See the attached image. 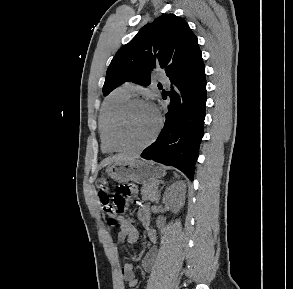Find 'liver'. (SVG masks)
<instances>
[{"mask_svg": "<svg viewBox=\"0 0 293 289\" xmlns=\"http://www.w3.org/2000/svg\"><path fill=\"white\" fill-rule=\"evenodd\" d=\"M136 158H138V155H136V154H117V155H114L110 158H106L103 161L102 166H107V165H110V164L117 162V161L132 160V159H136Z\"/></svg>", "mask_w": 293, "mask_h": 289, "instance_id": "obj_1", "label": "liver"}]
</instances>
